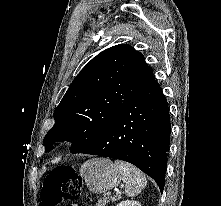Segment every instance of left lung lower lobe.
<instances>
[{
	"label": "left lung lower lobe",
	"instance_id": "left-lung-lower-lobe-1",
	"mask_svg": "<svg viewBox=\"0 0 221 206\" xmlns=\"http://www.w3.org/2000/svg\"><path fill=\"white\" fill-rule=\"evenodd\" d=\"M170 132L167 101L155 81L79 153L127 161L152 177L162 192Z\"/></svg>",
	"mask_w": 221,
	"mask_h": 206
}]
</instances>
